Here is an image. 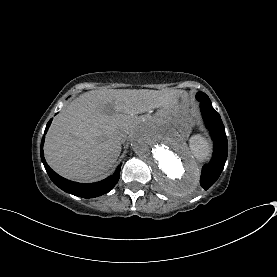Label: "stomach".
I'll return each instance as SVG.
<instances>
[{
  "instance_id": "obj_1",
  "label": "stomach",
  "mask_w": 277,
  "mask_h": 277,
  "mask_svg": "<svg viewBox=\"0 0 277 277\" xmlns=\"http://www.w3.org/2000/svg\"><path fill=\"white\" fill-rule=\"evenodd\" d=\"M157 117L175 125L181 132H189L196 122L195 109L186 93L180 95L172 106L160 109Z\"/></svg>"
}]
</instances>
